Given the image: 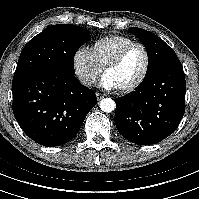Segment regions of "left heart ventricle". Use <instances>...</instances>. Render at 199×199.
<instances>
[{
    "label": "left heart ventricle",
    "instance_id": "obj_1",
    "mask_svg": "<svg viewBox=\"0 0 199 199\" xmlns=\"http://www.w3.org/2000/svg\"><path fill=\"white\" fill-rule=\"evenodd\" d=\"M145 66V54L141 47L131 48L119 65L109 70L104 76L108 77L115 89H121L134 83Z\"/></svg>",
    "mask_w": 199,
    "mask_h": 199
}]
</instances>
